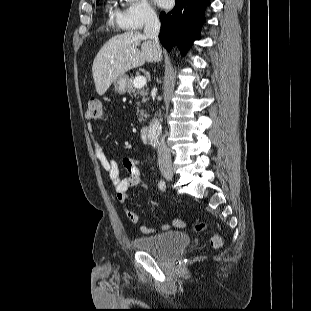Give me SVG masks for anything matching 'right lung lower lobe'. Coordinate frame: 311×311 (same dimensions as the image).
I'll use <instances>...</instances> for the list:
<instances>
[{
    "label": "right lung lower lobe",
    "mask_w": 311,
    "mask_h": 311,
    "mask_svg": "<svg viewBox=\"0 0 311 311\" xmlns=\"http://www.w3.org/2000/svg\"><path fill=\"white\" fill-rule=\"evenodd\" d=\"M172 11L160 14L161 31L159 39L170 51L175 44L185 52L193 41L200 39V29L205 20L209 0H175Z\"/></svg>",
    "instance_id": "right-lung-lower-lobe-1"
}]
</instances>
